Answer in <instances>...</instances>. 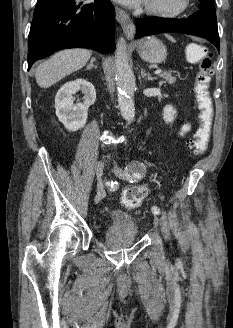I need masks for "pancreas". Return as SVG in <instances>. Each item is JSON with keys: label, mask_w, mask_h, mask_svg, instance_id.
<instances>
[{"label": "pancreas", "mask_w": 233, "mask_h": 328, "mask_svg": "<svg viewBox=\"0 0 233 328\" xmlns=\"http://www.w3.org/2000/svg\"><path fill=\"white\" fill-rule=\"evenodd\" d=\"M159 77L163 78L165 82H168L169 84H174L176 82V77L172 76L169 72H164L159 74Z\"/></svg>", "instance_id": "obj_1"}]
</instances>
